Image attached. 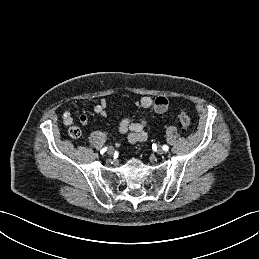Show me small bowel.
Masks as SVG:
<instances>
[{
  "label": "small bowel",
  "instance_id": "c3829d8e",
  "mask_svg": "<svg viewBox=\"0 0 259 259\" xmlns=\"http://www.w3.org/2000/svg\"><path fill=\"white\" fill-rule=\"evenodd\" d=\"M107 101L105 99L95 106L94 111L96 114L105 117L107 115ZM138 108L144 110L153 109L158 114H163L168 109V100L164 96L142 97L137 103ZM62 120L65 125H71L73 123V117L70 111H65L62 115ZM80 122L83 125L88 123V116L82 114L79 117ZM150 124V115L144 113L138 121H135L132 117H125L119 124V132L125 135L126 140L129 143L143 142L148 137V127Z\"/></svg>",
  "mask_w": 259,
  "mask_h": 259
}]
</instances>
